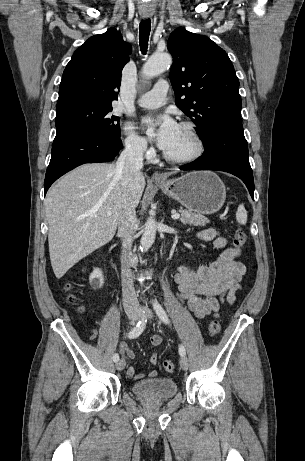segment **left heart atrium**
<instances>
[{
    "label": "left heart atrium",
    "instance_id": "1",
    "mask_svg": "<svg viewBox=\"0 0 305 461\" xmlns=\"http://www.w3.org/2000/svg\"><path fill=\"white\" fill-rule=\"evenodd\" d=\"M144 123L148 126H154V130L151 132L152 138L156 141L157 145L164 151H166L174 142L179 125L169 115H163L157 119L146 118Z\"/></svg>",
    "mask_w": 305,
    "mask_h": 461
}]
</instances>
